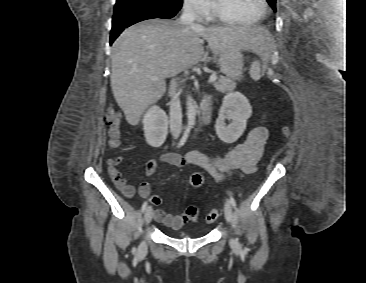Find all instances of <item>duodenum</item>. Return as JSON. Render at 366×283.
Instances as JSON below:
<instances>
[{"label":"duodenum","mask_w":366,"mask_h":283,"mask_svg":"<svg viewBox=\"0 0 366 283\" xmlns=\"http://www.w3.org/2000/svg\"><path fill=\"white\" fill-rule=\"evenodd\" d=\"M212 100L210 98L205 99L201 104V112H200V118H199V126L205 127L211 118L212 113Z\"/></svg>","instance_id":"1"}]
</instances>
